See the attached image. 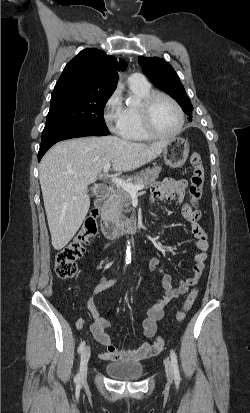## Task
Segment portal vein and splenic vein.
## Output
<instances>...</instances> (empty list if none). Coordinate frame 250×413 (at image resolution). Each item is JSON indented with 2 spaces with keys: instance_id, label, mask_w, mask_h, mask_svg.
Returning <instances> with one entry per match:
<instances>
[{
  "instance_id": "18ae733b",
  "label": "portal vein and splenic vein",
  "mask_w": 250,
  "mask_h": 413,
  "mask_svg": "<svg viewBox=\"0 0 250 413\" xmlns=\"http://www.w3.org/2000/svg\"><path fill=\"white\" fill-rule=\"evenodd\" d=\"M110 167H111V164H110V163H107V164L104 166L103 171H104L105 174L108 173ZM111 180H112V182H114L117 186H121V187H122L124 190H126L129 194H137V192H138L139 190H142V189L144 188V185H142V184L135 185V184L130 183L129 181H125V180L120 179V178H117V177H112Z\"/></svg>"
}]
</instances>
